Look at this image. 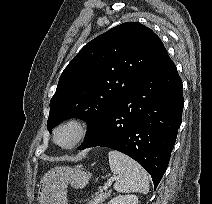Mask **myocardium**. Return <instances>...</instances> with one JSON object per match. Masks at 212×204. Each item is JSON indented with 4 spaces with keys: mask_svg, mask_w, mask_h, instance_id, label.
<instances>
[{
    "mask_svg": "<svg viewBox=\"0 0 212 204\" xmlns=\"http://www.w3.org/2000/svg\"><path fill=\"white\" fill-rule=\"evenodd\" d=\"M64 129H72L74 138L68 144H62L58 141V134ZM86 136V126L79 118L71 117L60 122L53 131L54 143L62 149H72L83 141Z\"/></svg>",
    "mask_w": 212,
    "mask_h": 204,
    "instance_id": "f54148a6",
    "label": "myocardium"
}]
</instances>
